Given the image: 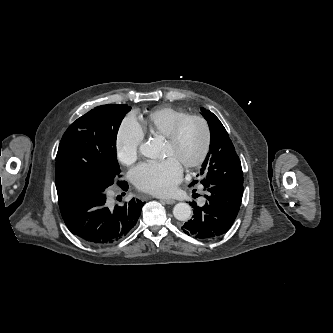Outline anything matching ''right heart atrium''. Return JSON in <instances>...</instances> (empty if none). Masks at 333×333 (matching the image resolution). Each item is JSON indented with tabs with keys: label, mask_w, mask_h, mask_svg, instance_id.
Wrapping results in <instances>:
<instances>
[{
	"label": "right heart atrium",
	"mask_w": 333,
	"mask_h": 333,
	"mask_svg": "<svg viewBox=\"0 0 333 333\" xmlns=\"http://www.w3.org/2000/svg\"><path fill=\"white\" fill-rule=\"evenodd\" d=\"M144 135L134 116L128 115L123 119L115 137V153L122 164L129 166L137 160Z\"/></svg>",
	"instance_id": "1"
}]
</instances>
